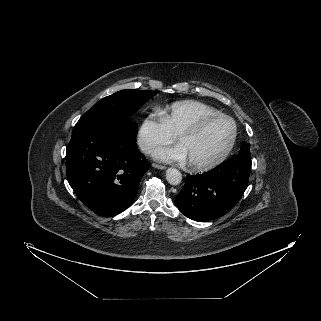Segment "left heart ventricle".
Listing matches in <instances>:
<instances>
[{
  "label": "left heart ventricle",
  "instance_id": "obj_1",
  "mask_svg": "<svg viewBox=\"0 0 321 321\" xmlns=\"http://www.w3.org/2000/svg\"><path fill=\"white\" fill-rule=\"evenodd\" d=\"M231 134L232 125L228 120L215 119L196 134L182 136L179 142L185 147L189 161L205 163L222 153Z\"/></svg>",
  "mask_w": 321,
  "mask_h": 321
}]
</instances>
